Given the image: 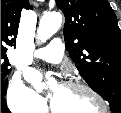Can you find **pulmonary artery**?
Masks as SVG:
<instances>
[{"label": "pulmonary artery", "mask_w": 121, "mask_h": 113, "mask_svg": "<svg viewBox=\"0 0 121 113\" xmlns=\"http://www.w3.org/2000/svg\"><path fill=\"white\" fill-rule=\"evenodd\" d=\"M32 55L48 63L59 64L64 56L63 42L61 39L55 38L47 46L34 50Z\"/></svg>", "instance_id": "1"}]
</instances>
